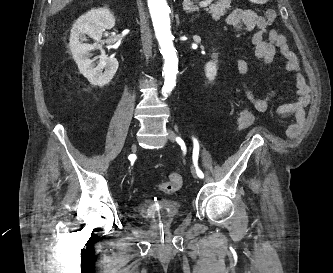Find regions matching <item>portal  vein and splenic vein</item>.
I'll use <instances>...</instances> for the list:
<instances>
[{
    "mask_svg": "<svg viewBox=\"0 0 333 273\" xmlns=\"http://www.w3.org/2000/svg\"><path fill=\"white\" fill-rule=\"evenodd\" d=\"M213 0H204L202 2L199 3L200 7H206L208 6Z\"/></svg>",
    "mask_w": 333,
    "mask_h": 273,
    "instance_id": "18ae733b",
    "label": "portal vein and splenic vein"
}]
</instances>
